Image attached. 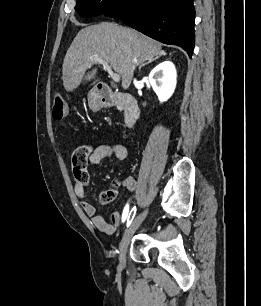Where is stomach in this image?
Wrapping results in <instances>:
<instances>
[{
    "instance_id": "stomach-1",
    "label": "stomach",
    "mask_w": 261,
    "mask_h": 306,
    "mask_svg": "<svg viewBox=\"0 0 261 306\" xmlns=\"http://www.w3.org/2000/svg\"><path fill=\"white\" fill-rule=\"evenodd\" d=\"M88 105L93 111L99 110L103 105L101 96L95 89L88 93Z\"/></svg>"
}]
</instances>
